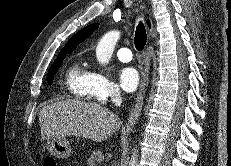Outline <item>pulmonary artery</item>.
Returning <instances> with one entry per match:
<instances>
[{"instance_id":"e3ab8cb5","label":"pulmonary artery","mask_w":231,"mask_h":166,"mask_svg":"<svg viewBox=\"0 0 231 166\" xmlns=\"http://www.w3.org/2000/svg\"><path fill=\"white\" fill-rule=\"evenodd\" d=\"M117 58L121 62H129L132 59L131 50L128 47H122L117 51Z\"/></svg>"}]
</instances>
